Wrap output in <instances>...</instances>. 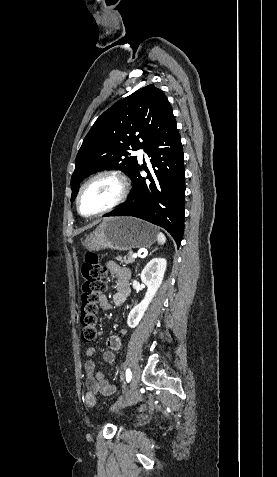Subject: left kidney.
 I'll use <instances>...</instances> for the list:
<instances>
[{
  "label": "left kidney",
  "mask_w": 277,
  "mask_h": 477,
  "mask_svg": "<svg viewBox=\"0 0 277 477\" xmlns=\"http://www.w3.org/2000/svg\"><path fill=\"white\" fill-rule=\"evenodd\" d=\"M167 261L164 258H153L141 272V280L147 286L144 299L129 313L127 324L135 328L143 318L156 292L158 291L166 270Z\"/></svg>",
  "instance_id": "5707ae66"
}]
</instances>
